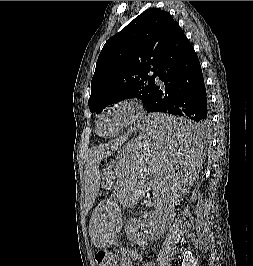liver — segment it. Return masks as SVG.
Segmentation results:
<instances>
[{
  "label": "liver",
  "instance_id": "obj_1",
  "mask_svg": "<svg viewBox=\"0 0 253 266\" xmlns=\"http://www.w3.org/2000/svg\"><path fill=\"white\" fill-rule=\"evenodd\" d=\"M126 138L117 139L110 143H107L103 146H99L94 149L86 159V170L91 173L94 170H98V165L100 161L109 155H111L114 151L118 150L119 147L125 142ZM181 188H177L180 190ZM94 215V214H93ZM92 238V235H90ZM95 243V242H93Z\"/></svg>",
  "mask_w": 253,
  "mask_h": 266
}]
</instances>
